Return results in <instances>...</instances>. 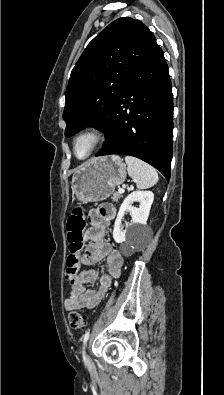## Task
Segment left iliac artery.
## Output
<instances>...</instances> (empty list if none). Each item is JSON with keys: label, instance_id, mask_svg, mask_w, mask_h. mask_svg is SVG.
Returning <instances> with one entry per match:
<instances>
[{"label": "left iliac artery", "instance_id": "obj_1", "mask_svg": "<svg viewBox=\"0 0 224 395\" xmlns=\"http://www.w3.org/2000/svg\"><path fill=\"white\" fill-rule=\"evenodd\" d=\"M89 334H90V332L88 330V331H86V333L83 336V343H84V345L86 344L87 340L89 339ZM83 349H84V347H83Z\"/></svg>", "mask_w": 224, "mask_h": 395}]
</instances>
